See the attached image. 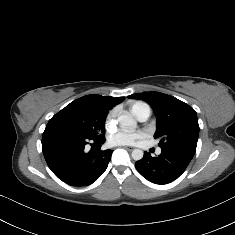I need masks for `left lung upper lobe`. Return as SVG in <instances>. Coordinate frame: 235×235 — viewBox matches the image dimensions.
Returning a JSON list of instances; mask_svg holds the SVG:
<instances>
[{"label": "left lung upper lobe", "mask_w": 235, "mask_h": 235, "mask_svg": "<svg viewBox=\"0 0 235 235\" xmlns=\"http://www.w3.org/2000/svg\"><path fill=\"white\" fill-rule=\"evenodd\" d=\"M151 105L157 117L155 138L159 146L175 147L195 154L199 124L196 111L177 98L160 92H143L128 96Z\"/></svg>", "instance_id": "left-lung-upper-lobe-1"}]
</instances>
